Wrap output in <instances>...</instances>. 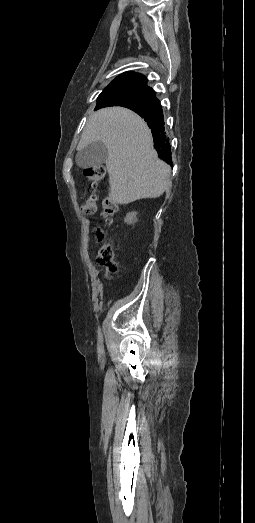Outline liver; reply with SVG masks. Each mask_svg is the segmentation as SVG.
Returning a JSON list of instances; mask_svg holds the SVG:
<instances>
[{"instance_id":"liver-1","label":"liver","mask_w":255,"mask_h":523,"mask_svg":"<svg viewBox=\"0 0 255 523\" xmlns=\"http://www.w3.org/2000/svg\"><path fill=\"white\" fill-rule=\"evenodd\" d=\"M108 150L110 198L130 204L140 198H159L168 188L171 168L159 160L152 134L144 120L127 108H104L91 114L77 150L91 142Z\"/></svg>"}]
</instances>
